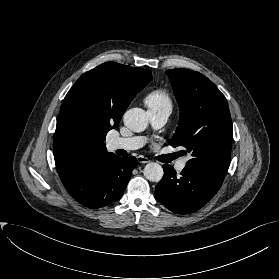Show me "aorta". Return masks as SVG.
<instances>
[{
	"mask_svg": "<svg viewBox=\"0 0 279 279\" xmlns=\"http://www.w3.org/2000/svg\"><path fill=\"white\" fill-rule=\"evenodd\" d=\"M125 126L133 132H142L148 126V116L141 108H132L124 114ZM144 176L152 182H159L163 177V168L160 164L151 162L144 167Z\"/></svg>",
	"mask_w": 279,
	"mask_h": 279,
	"instance_id": "1",
	"label": "aorta"
}]
</instances>
